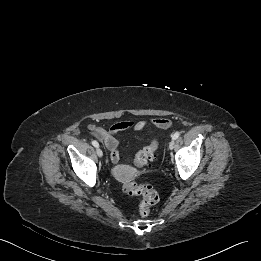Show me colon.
<instances>
[{
  "label": "colon",
  "mask_w": 261,
  "mask_h": 261,
  "mask_svg": "<svg viewBox=\"0 0 261 261\" xmlns=\"http://www.w3.org/2000/svg\"><path fill=\"white\" fill-rule=\"evenodd\" d=\"M157 151V141L153 140L149 145L142 148L135 157L136 166L143 170L148 163L153 160ZM121 176L120 172L116 173ZM123 192L129 196H142V200L139 206V213L141 216L146 217L150 213L151 207L157 203L158 194L149 185H138L134 182L126 181L123 184Z\"/></svg>",
  "instance_id": "colon-1"
}]
</instances>
